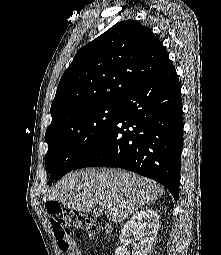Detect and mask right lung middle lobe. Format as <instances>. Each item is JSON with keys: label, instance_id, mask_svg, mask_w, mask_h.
<instances>
[{"label": "right lung middle lobe", "instance_id": "obj_1", "mask_svg": "<svg viewBox=\"0 0 221 255\" xmlns=\"http://www.w3.org/2000/svg\"><path fill=\"white\" fill-rule=\"evenodd\" d=\"M120 103H104L79 110L45 133V164L49 185L80 162L112 124Z\"/></svg>", "mask_w": 221, "mask_h": 255}]
</instances>
